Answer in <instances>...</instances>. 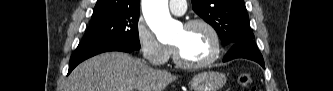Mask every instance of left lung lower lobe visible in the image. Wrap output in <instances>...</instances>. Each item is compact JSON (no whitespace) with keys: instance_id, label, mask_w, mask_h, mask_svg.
Masks as SVG:
<instances>
[{"instance_id":"obj_1","label":"left lung lower lobe","mask_w":333,"mask_h":91,"mask_svg":"<svg viewBox=\"0 0 333 91\" xmlns=\"http://www.w3.org/2000/svg\"><path fill=\"white\" fill-rule=\"evenodd\" d=\"M229 47L230 49L223 59L224 62L235 58H246L259 63L263 68H265L263 57L253 40L239 41Z\"/></svg>"}]
</instances>
